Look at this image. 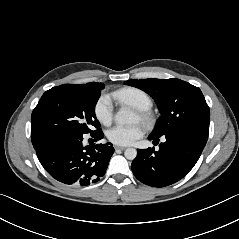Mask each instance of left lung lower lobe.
<instances>
[{
	"label": "left lung lower lobe",
	"mask_w": 239,
	"mask_h": 239,
	"mask_svg": "<svg viewBox=\"0 0 239 239\" xmlns=\"http://www.w3.org/2000/svg\"><path fill=\"white\" fill-rule=\"evenodd\" d=\"M166 141L159 150H138L131 168L135 177L144 184L164 187L182 179L198 161L208 135L193 131H175L164 135ZM149 140L159 137L149 135Z\"/></svg>",
	"instance_id": "left-lung-lower-lobe-1"
}]
</instances>
